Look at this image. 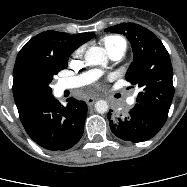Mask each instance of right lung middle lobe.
Segmentation results:
<instances>
[{"instance_id":"obj_1","label":"right lung middle lobe","mask_w":187,"mask_h":187,"mask_svg":"<svg viewBox=\"0 0 187 187\" xmlns=\"http://www.w3.org/2000/svg\"><path fill=\"white\" fill-rule=\"evenodd\" d=\"M67 62L54 58L28 57L13 72V89L23 99L34 102L49 97L53 76L67 68Z\"/></svg>"}]
</instances>
